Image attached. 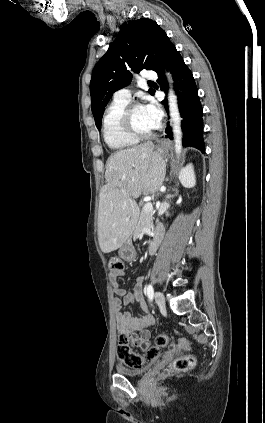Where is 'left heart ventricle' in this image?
I'll return each mask as SVG.
<instances>
[{
  "label": "left heart ventricle",
  "mask_w": 265,
  "mask_h": 423,
  "mask_svg": "<svg viewBox=\"0 0 265 423\" xmlns=\"http://www.w3.org/2000/svg\"><path fill=\"white\" fill-rule=\"evenodd\" d=\"M131 120L136 130L140 132H149L156 128L144 112L143 107L137 108L132 112Z\"/></svg>",
  "instance_id": "b2bd125f"
}]
</instances>
